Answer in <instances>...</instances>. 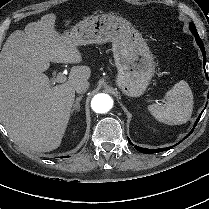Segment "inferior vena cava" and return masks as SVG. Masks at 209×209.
Returning a JSON list of instances; mask_svg holds the SVG:
<instances>
[{"label": "inferior vena cava", "mask_w": 209, "mask_h": 209, "mask_svg": "<svg viewBox=\"0 0 209 209\" xmlns=\"http://www.w3.org/2000/svg\"><path fill=\"white\" fill-rule=\"evenodd\" d=\"M89 88V82L88 81H82L79 82L76 87H75V91L79 94L84 93L88 90Z\"/></svg>", "instance_id": "602c4592"}]
</instances>
